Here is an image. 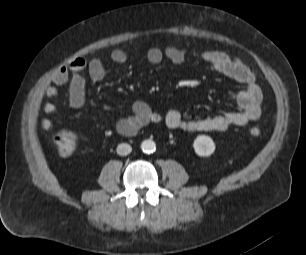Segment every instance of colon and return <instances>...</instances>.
<instances>
[{
  "mask_svg": "<svg viewBox=\"0 0 306 255\" xmlns=\"http://www.w3.org/2000/svg\"><path fill=\"white\" fill-rule=\"evenodd\" d=\"M252 137H259L261 130L258 127H253L249 131ZM58 152L63 157L72 156L77 147V137L72 131H62L56 135L54 139Z\"/></svg>",
  "mask_w": 306,
  "mask_h": 255,
  "instance_id": "5ec220e1",
  "label": "colon"
}]
</instances>
